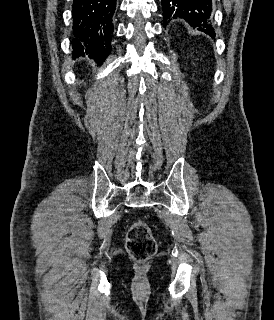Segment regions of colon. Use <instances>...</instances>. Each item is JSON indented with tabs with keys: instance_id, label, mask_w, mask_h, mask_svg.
I'll use <instances>...</instances> for the list:
<instances>
[{
	"instance_id": "5ec220e1",
	"label": "colon",
	"mask_w": 274,
	"mask_h": 320,
	"mask_svg": "<svg viewBox=\"0 0 274 320\" xmlns=\"http://www.w3.org/2000/svg\"><path fill=\"white\" fill-rule=\"evenodd\" d=\"M126 248L138 263H146L156 253V241L151 227L144 222H135L128 230Z\"/></svg>"
}]
</instances>
